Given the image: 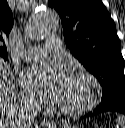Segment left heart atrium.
Segmentation results:
<instances>
[{"instance_id":"left-heart-atrium-1","label":"left heart atrium","mask_w":125,"mask_h":128,"mask_svg":"<svg viewBox=\"0 0 125 128\" xmlns=\"http://www.w3.org/2000/svg\"><path fill=\"white\" fill-rule=\"evenodd\" d=\"M72 76L62 62L33 65L20 76L23 90L45 103H61L68 91Z\"/></svg>"}]
</instances>
